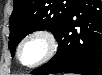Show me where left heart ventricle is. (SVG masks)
Wrapping results in <instances>:
<instances>
[{"instance_id":"obj_1","label":"left heart ventricle","mask_w":102,"mask_h":75,"mask_svg":"<svg viewBox=\"0 0 102 75\" xmlns=\"http://www.w3.org/2000/svg\"><path fill=\"white\" fill-rule=\"evenodd\" d=\"M46 52V42L42 38H33L29 40L23 48L22 58L25 63L31 59L42 57Z\"/></svg>"}]
</instances>
